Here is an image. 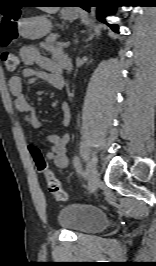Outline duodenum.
<instances>
[{"label":"duodenum","instance_id":"1","mask_svg":"<svg viewBox=\"0 0 156 266\" xmlns=\"http://www.w3.org/2000/svg\"><path fill=\"white\" fill-rule=\"evenodd\" d=\"M63 69L66 71V72H70L71 69H72V64H71V61L70 59H65L63 61Z\"/></svg>","mask_w":156,"mask_h":266}]
</instances>
